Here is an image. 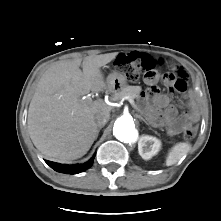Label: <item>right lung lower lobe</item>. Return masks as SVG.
<instances>
[{
	"label": "right lung lower lobe",
	"mask_w": 221,
	"mask_h": 221,
	"mask_svg": "<svg viewBox=\"0 0 221 221\" xmlns=\"http://www.w3.org/2000/svg\"><path fill=\"white\" fill-rule=\"evenodd\" d=\"M95 155L90 159V161H88L87 163H85L84 165H77L75 169H73L72 166L69 165H63V164H59V163H55V162H51L46 160L45 162L55 171L60 172V173H65V174H76V173H80L85 171L86 169H88L92 163H93V159H94Z\"/></svg>",
	"instance_id": "98d812e1"
}]
</instances>
